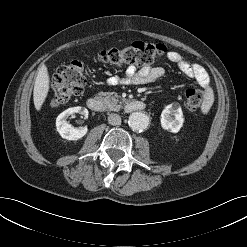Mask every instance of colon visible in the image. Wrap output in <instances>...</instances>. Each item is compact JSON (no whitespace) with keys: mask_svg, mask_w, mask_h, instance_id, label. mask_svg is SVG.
I'll use <instances>...</instances> for the list:
<instances>
[{"mask_svg":"<svg viewBox=\"0 0 247 247\" xmlns=\"http://www.w3.org/2000/svg\"><path fill=\"white\" fill-rule=\"evenodd\" d=\"M167 48L163 44L134 42L125 48L103 50L98 59L103 64L122 66H146L160 60ZM86 73L82 62L71 61L56 70L51 84V102L59 105L79 96L86 86ZM203 94L201 90L189 88L185 92V106L188 111H196L201 107Z\"/></svg>","mask_w":247,"mask_h":247,"instance_id":"5ec220e1","label":"colon"}]
</instances>
